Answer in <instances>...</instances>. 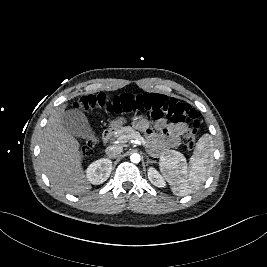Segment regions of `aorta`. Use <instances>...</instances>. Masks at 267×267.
<instances>
[{
    "mask_svg": "<svg viewBox=\"0 0 267 267\" xmlns=\"http://www.w3.org/2000/svg\"><path fill=\"white\" fill-rule=\"evenodd\" d=\"M130 160H131V162H133V163H139L140 160H141V156H140V154H138V153H133V154L130 156Z\"/></svg>",
    "mask_w": 267,
    "mask_h": 267,
    "instance_id": "obj_1",
    "label": "aorta"
}]
</instances>
